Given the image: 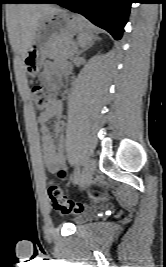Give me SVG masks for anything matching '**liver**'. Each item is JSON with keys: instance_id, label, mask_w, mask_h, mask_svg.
<instances>
[{"instance_id": "1", "label": "liver", "mask_w": 166, "mask_h": 267, "mask_svg": "<svg viewBox=\"0 0 166 267\" xmlns=\"http://www.w3.org/2000/svg\"><path fill=\"white\" fill-rule=\"evenodd\" d=\"M58 10L57 7L47 4L18 6L13 20L11 42L22 56L25 55L34 39L39 20Z\"/></svg>"}]
</instances>
